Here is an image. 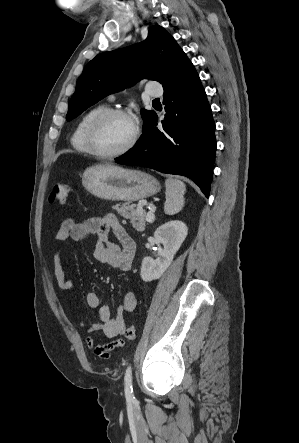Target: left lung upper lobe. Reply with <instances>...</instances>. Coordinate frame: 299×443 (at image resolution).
I'll use <instances>...</instances> for the list:
<instances>
[{
    "label": "left lung upper lobe",
    "instance_id": "left-lung-upper-lobe-1",
    "mask_svg": "<svg viewBox=\"0 0 299 443\" xmlns=\"http://www.w3.org/2000/svg\"><path fill=\"white\" fill-rule=\"evenodd\" d=\"M191 64L174 38L164 28L155 25L143 42L98 54L86 65L70 99L66 119H74L105 96L123 90L143 77L165 86ZM154 113L141 110L144 124Z\"/></svg>",
    "mask_w": 299,
    "mask_h": 443
}]
</instances>
